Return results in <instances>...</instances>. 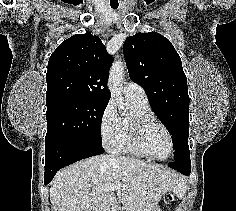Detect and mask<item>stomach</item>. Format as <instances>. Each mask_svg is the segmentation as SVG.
Returning a JSON list of instances; mask_svg holds the SVG:
<instances>
[{
    "mask_svg": "<svg viewBox=\"0 0 236 211\" xmlns=\"http://www.w3.org/2000/svg\"><path fill=\"white\" fill-rule=\"evenodd\" d=\"M151 211H160V209L158 208V206H155Z\"/></svg>",
    "mask_w": 236,
    "mask_h": 211,
    "instance_id": "stomach-1",
    "label": "stomach"
}]
</instances>
